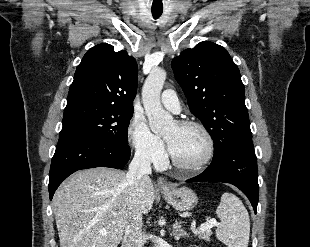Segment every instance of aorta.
Masks as SVG:
<instances>
[{
  "instance_id": "762f6f07",
  "label": "aorta",
  "mask_w": 310,
  "mask_h": 247,
  "mask_svg": "<svg viewBox=\"0 0 310 247\" xmlns=\"http://www.w3.org/2000/svg\"><path fill=\"white\" fill-rule=\"evenodd\" d=\"M165 80V70L154 68L142 88V101L149 126L152 132L157 134L164 132L173 124V117L163 109L160 102V93Z\"/></svg>"
}]
</instances>
